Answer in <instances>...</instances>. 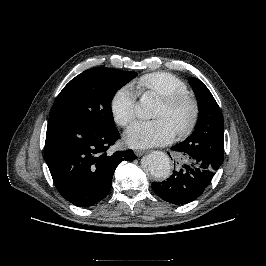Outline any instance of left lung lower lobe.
I'll use <instances>...</instances> for the list:
<instances>
[{
  "instance_id": "0a47b994",
  "label": "left lung lower lobe",
  "mask_w": 266,
  "mask_h": 266,
  "mask_svg": "<svg viewBox=\"0 0 266 266\" xmlns=\"http://www.w3.org/2000/svg\"><path fill=\"white\" fill-rule=\"evenodd\" d=\"M171 150L185 156L184 164L163 182H153V191L173 204H186L198 198L210 184L221 164L197 154L185 152L179 145Z\"/></svg>"
}]
</instances>
